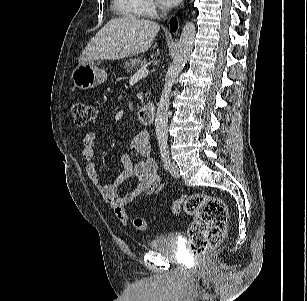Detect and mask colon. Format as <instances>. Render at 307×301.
Masks as SVG:
<instances>
[{"instance_id": "5ec220e1", "label": "colon", "mask_w": 307, "mask_h": 301, "mask_svg": "<svg viewBox=\"0 0 307 301\" xmlns=\"http://www.w3.org/2000/svg\"><path fill=\"white\" fill-rule=\"evenodd\" d=\"M69 108L77 126L84 127L96 117L95 106L85 101L74 100ZM180 211L194 217L187 240L188 250L193 255H203L221 242L228 217L226 204L222 199L200 192L181 195L172 204L173 214ZM133 225L139 231L147 229V222L143 218H135Z\"/></svg>"}]
</instances>
